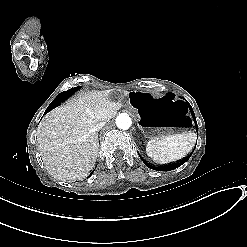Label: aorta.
<instances>
[{
    "label": "aorta",
    "mask_w": 247,
    "mask_h": 247,
    "mask_svg": "<svg viewBox=\"0 0 247 247\" xmlns=\"http://www.w3.org/2000/svg\"><path fill=\"white\" fill-rule=\"evenodd\" d=\"M131 124V118L126 113H121L116 118V125L119 129L127 130L131 127Z\"/></svg>",
    "instance_id": "762f6f07"
}]
</instances>
